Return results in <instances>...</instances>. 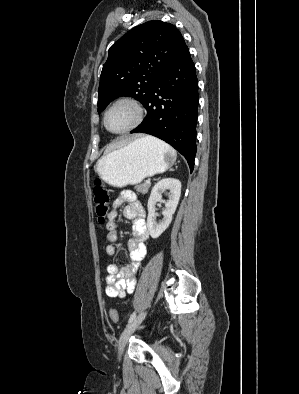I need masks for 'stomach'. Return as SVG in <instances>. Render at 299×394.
I'll use <instances>...</instances> for the list:
<instances>
[{"mask_svg":"<svg viewBox=\"0 0 299 394\" xmlns=\"http://www.w3.org/2000/svg\"><path fill=\"white\" fill-rule=\"evenodd\" d=\"M175 160V153L147 136L106 153L97 161L95 170L110 185L124 187L165 172Z\"/></svg>","mask_w":299,"mask_h":394,"instance_id":"obj_1","label":"stomach"}]
</instances>
